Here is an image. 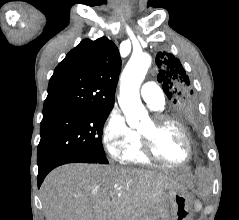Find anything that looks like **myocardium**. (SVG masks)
Instances as JSON below:
<instances>
[{"label": "myocardium", "mask_w": 239, "mask_h": 220, "mask_svg": "<svg viewBox=\"0 0 239 220\" xmlns=\"http://www.w3.org/2000/svg\"><path fill=\"white\" fill-rule=\"evenodd\" d=\"M150 119L153 123V126L157 129L164 125H169V124L176 126L181 131L184 137L186 147H187V155L184 160L178 161V162L170 161L162 157L161 155H159V153L157 152L155 148L153 137L139 130V133L141 136V148L143 153L150 160H153L162 164H166L170 166H182L186 164L192 157V143H191V138L189 136L187 128L180 121L165 114H155Z\"/></svg>", "instance_id": "obj_1"}]
</instances>
